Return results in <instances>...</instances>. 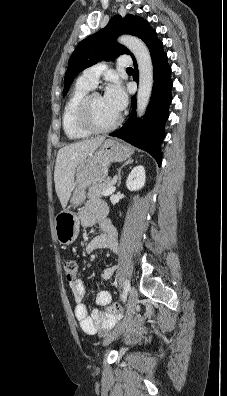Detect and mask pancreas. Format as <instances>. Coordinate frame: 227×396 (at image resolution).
Listing matches in <instances>:
<instances>
[{
    "instance_id": "cf45deb5",
    "label": "pancreas",
    "mask_w": 227,
    "mask_h": 396,
    "mask_svg": "<svg viewBox=\"0 0 227 396\" xmlns=\"http://www.w3.org/2000/svg\"><path fill=\"white\" fill-rule=\"evenodd\" d=\"M112 185H113V182H112V180H110V179L105 180V181L102 182V183H95V184H92V185L89 187V189H88L87 196H88L89 198H100V197H102V196H105V195H103V192H104L106 189H108L110 186H112Z\"/></svg>"
}]
</instances>
